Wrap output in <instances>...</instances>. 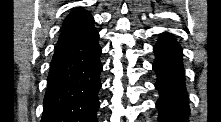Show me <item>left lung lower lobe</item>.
<instances>
[{"instance_id": "left-lung-lower-lobe-1", "label": "left lung lower lobe", "mask_w": 221, "mask_h": 122, "mask_svg": "<svg viewBox=\"0 0 221 122\" xmlns=\"http://www.w3.org/2000/svg\"><path fill=\"white\" fill-rule=\"evenodd\" d=\"M156 58L153 69L157 73L156 89L159 122H186L190 112L185 87L182 50L175 38L165 32L153 48Z\"/></svg>"}]
</instances>
